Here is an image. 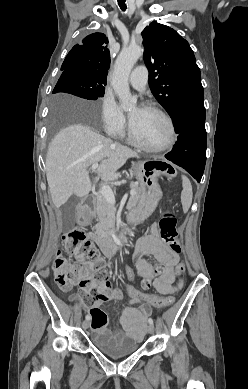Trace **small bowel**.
<instances>
[{
  "label": "small bowel",
  "mask_w": 248,
  "mask_h": 389,
  "mask_svg": "<svg viewBox=\"0 0 248 389\" xmlns=\"http://www.w3.org/2000/svg\"><path fill=\"white\" fill-rule=\"evenodd\" d=\"M154 255L165 267V274L156 276L152 266L148 263L146 257ZM133 257L135 259V279L147 278L153 281L154 288L160 294L167 295L175 292V284L182 285L183 279L179 278L176 282L173 276V269L179 261L178 252L171 246L162 244L156 224L151 225L149 234L141 237L135 246ZM124 289V287H123ZM125 291V290H124ZM118 298L121 296L120 290L112 291ZM128 295L127 291H125ZM116 298V297H114ZM71 301H79L77 294H71ZM104 301H97L95 305H100ZM137 307H125L118 314L116 321L119 329L115 332L106 330L108 333H120L127 335L135 341H140L146 331L147 321L151 315V307L143 303V299L129 298V305ZM89 312V306H84Z\"/></svg>",
  "instance_id": "c3829d8e"
}]
</instances>
